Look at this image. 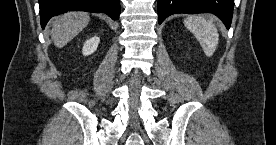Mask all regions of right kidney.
I'll use <instances>...</instances> for the list:
<instances>
[{"instance_id":"right-kidney-1","label":"right kidney","mask_w":276,"mask_h":145,"mask_svg":"<svg viewBox=\"0 0 276 145\" xmlns=\"http://www.w3.org/2000/svg\"><path fill=\"white\" fill-rule=\"evenodd\" d=\"M99 42H100L99 37H92V38L88 39L84 43V46L82 48L83 55L88 56V55L93 54L96 51Z\"/></svg>"}]
</instances>
